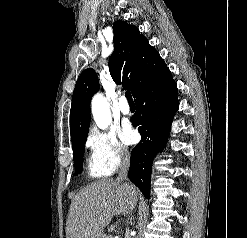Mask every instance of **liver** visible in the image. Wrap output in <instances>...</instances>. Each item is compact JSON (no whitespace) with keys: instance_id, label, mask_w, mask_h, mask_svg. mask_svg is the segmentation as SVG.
I'll list each match as a JSON object with an SVG mask.
<instances>
[{"instance_id":"6515ba94","label":"liver","mask_w":247,"mask_h":238,"mask_svg":"<svg viewBox=\"0 0 247 238\" xmlns=\"http://www.w3.org/2000/svg\"><path fill=\"white\" fill-rule=\"evenodd\" d=\"M138 201L135 187L113 179L91 183L73 198L66 223L67 238H101L115 215H127Z\"/></svg>"}]
</instances>
